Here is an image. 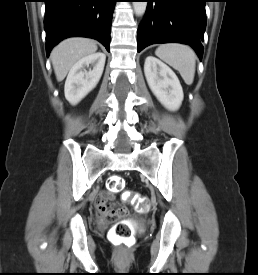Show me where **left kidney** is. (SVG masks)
I'll use <instances>...</instances> for the list:
<instances>
[{"label": "left kidney", "instance_id": "left-kidney-1", "mask_svg": "<svg viewBox=\"0 0 258 275\" xmlns=\"http://www.w3.org/2000/svg\"><path fill=\"white\" fill-rule=\"evenodd\" d=\"M147 83L157 99L169 110L179 109L183 90L174 71L154 56H148L144 64Z\"/></svg>", "mask_w": 258, "mask_h": 275}]
</instances>
